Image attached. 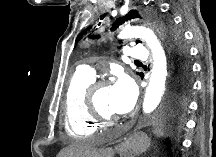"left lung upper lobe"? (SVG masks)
Instances as JSON below:
<instances>
[{
    "instance_id": "5c2ea615",
    "label": "left lung upper lobe",
    "mask_w": 216,
    "mask_h": 157,
    "mask_svg": "<svg viewBox=\"0 0 216 157\" xmlns=\"http://www.w3.org/2000/svg\"><path fill=\"white\" fill-rule=\"evenodd\" d=\"M144 17L164 39L170 61V82L172 80V75H174L180 83L188 81L190 74V63L188 58V49L184 44L182 34L174 28L169 19L163 18L156 10L145 12ZM134 18H141V15L137 10H131L125 16L117 18L110 29L114 31L123 23ZM95 37L97 36H91V38ZM139 42L140 41H137L136 43Z\"/></svg>"
}]
</instances>
